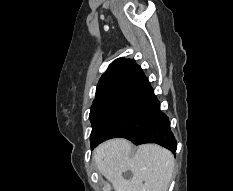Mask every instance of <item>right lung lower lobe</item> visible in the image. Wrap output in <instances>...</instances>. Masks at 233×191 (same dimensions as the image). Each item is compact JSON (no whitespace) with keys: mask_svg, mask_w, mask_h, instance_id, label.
<instances>
[{"mask_svg":"<svg viewBox=\"0 0 233 191\" xmlns=\"http://www.w3.org/2000/svg\"><path fill=\"white\" fill-rule=\"evenodd\" d=\"M126 94L125 107L91 149L107 139L124 137L136 145L157 143L174 153L177 144L169 119L160 111V103L144 73Z\"/></svg>","mask_w":233,"mask_h":191,"instance_id":"obj_1","label":"right lung lower lobe"}]
</instances>
